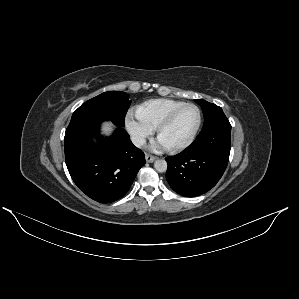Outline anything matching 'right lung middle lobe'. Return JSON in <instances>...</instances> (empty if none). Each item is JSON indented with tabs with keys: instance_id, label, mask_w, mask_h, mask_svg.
Segmentation results:
<instances>
[{
	"instance_id": "right-lung-middle-lobe-1",
	"label": "right lung middle lobe",
	"mask_w": 299,
	"mask_h": 299,
	"mask_svg": "<svg viewBox=\"0 0 299 299\" xmlns=\"http://www.w3.org/2000/svg\"><path fill=\"white\" fill-rule=\"evenodd\" d=\"M129 96L125 92L109 91L83 103L72 115L71 121L81 119H107L123 127L129 108Z\"/></svg>"
}]
</instances>
